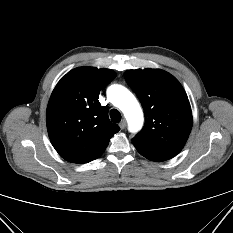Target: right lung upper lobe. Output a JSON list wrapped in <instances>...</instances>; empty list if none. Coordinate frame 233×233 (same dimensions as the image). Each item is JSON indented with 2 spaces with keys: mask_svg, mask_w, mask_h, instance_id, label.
<instances>
[{
  "mask_svg": "<svg viewBox=\"0 0 233 233\" xmlns=\"http://www.w3.org/2000/svg\"><path fill=\"white\" fill-rule=\"evenodd\" d=\"M115 77L110 69L79 67L53 90L46 112L48 134L55 150L68 162L81 164L98 158L120 130L98 101L100 90Z\"/></svg>",
  "mask_w": 233,
  "mask_h": 233,
  "instance_id": "obj_1",
  "label": "right lung upper lobe"
}]
</instances>
